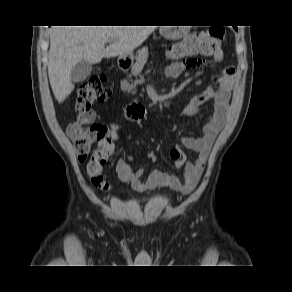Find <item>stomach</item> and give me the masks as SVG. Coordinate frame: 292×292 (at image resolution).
Returning a JSON list of instances; mask_svg holds the SVG:
<instances>
[{
	"mask_svg": "<svg viewBox=\"0 0 292 292\" xmlns=\"http://www.w3.org/2000/svg\"><path fill=\"white\" fill-rule=\"evenodd\" d=\"M163 32L166 34L167 31L164 29ZM181 33L178 32V31H172V32H169V36H166V37H169V38H172V39H178V38H181ZM134 59V56H133V53H130L128 54L127 56H120L119 57V60L120 61H128V62H131L133 61Z\"/></svg>",
	"mask_w": 292,
	"mask_h": 292,
	"instance_id": "1",
	"label": "stomach"
}]
</instances>
